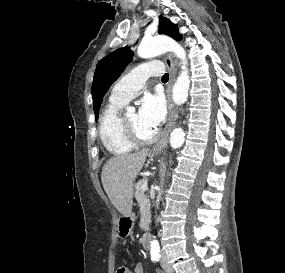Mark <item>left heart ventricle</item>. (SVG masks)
I'll use <instances>...</instances> for the list:
<instances>
[{
  "label": "left heart ventricle",
  "instance_id": "obj_1",
  "mask_svg": "<svg viewBox=\"0 0 285 273\" xmlns=\"http://www.w3.org/2000/svg\"><path fill=\"white\" fill-rule=\"evenodd\" d=\"M125 120L142 138H149L156 132L155 128L143 124L138 117V113L136 112L126 115Z\"/></svg>",
  "mask_w": 285,
  "mask_h": 273
}]
</instances>
